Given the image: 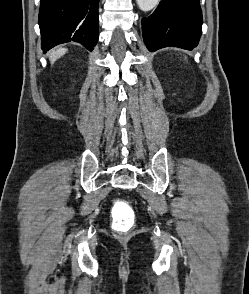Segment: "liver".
<instances>
[{
    "label": "liver",
    "instance_id": "1",
    "mask_svg": "<svg viewBox=\"0 0 249 294\" xmlns=\"http://www.w3.org/2000/svg\"><path fill=\"white\" fill-rule=\"evenodd\" d=\"M67 49L59 48L56 51H52L49 53V60L51 64H53L58 58L63 56L66 53Z\"/></svg>",
    "mask_w": 249,
    "mask_h": 294
}]
</instances>
